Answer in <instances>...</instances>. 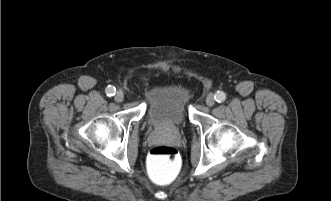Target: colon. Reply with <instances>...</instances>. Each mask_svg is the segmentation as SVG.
<instances>
[{
	"label": "colon",
	"mask_w": 331,
	"mask_h": 201,
	"mask_svg": "<svg viewBox=\"0 0 331 201\" xmlns=\"http://www.w3.org/2000/svg\"><path fill=\"white\" fill-rule=\"evenodd\" d=\"M146 165L148 175L154 183L167 185L178 178L182 162L174 147L159 145L150 150Z\"/></svg>",
	"instance_id": "1"
}]
</instances>
